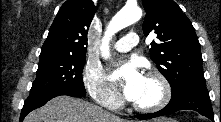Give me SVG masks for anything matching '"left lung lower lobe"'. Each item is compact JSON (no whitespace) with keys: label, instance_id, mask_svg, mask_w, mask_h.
Here are the masks:
<instances>
[{"label":"left lung lower lobe","instance_id":"obj_1","mask_svg":"<svg viewBox=\"0 0 221 122\" xmlns=\"http://www.w3.org/2000/svg\"><path fill=\"white\" fill-rule=\"evenodd\" d=\"M179 110H194L214 120L211 101L206 87L186 88L178 95L172 96L169 104L162 110L151 114L138 115L137 118L146 120L171 114Z\"/></svg>","mask_w":221,"mask_h":122}]
</instances>
